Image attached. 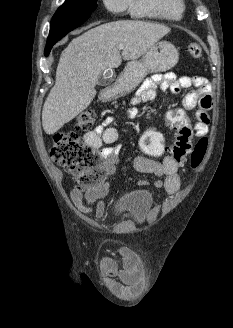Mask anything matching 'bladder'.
Returning a JSON list of instances; mask_svg holds the SVG:
<instances>
[{
  "label": "bladder",
  "instance_id": "bladder-1",
  "mask_svg": "<svg viewBox=\"0 0 233 328\" xmlns=\"http://www.w3.org/2000/svg\"><path fill=\"white\" fill-rule=\"evenodd\" d=\"M153 203L154 198L149 191H134L121 199L119 210L133 219L139 220L147 215Z\"/></svg>",
  "mask_w": 233,
  "mask_h": 328
}]
</instances>
